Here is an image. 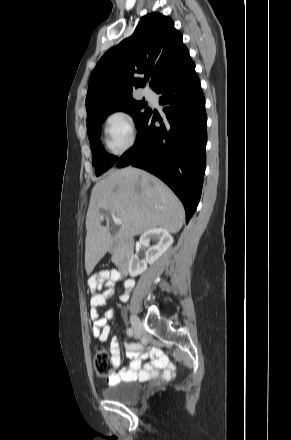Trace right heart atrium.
<instances>
[{
  "label": "right heart atrium",
  "mask_w": 291,
  "mask_h": 440,
  "mask_svg": "<svg viewBox=\"0 0 291 440\" xmlns=\"http://www.w3.org/2000/svg\"><path fill=\"white\" fill-rule=\"evenodd\" d=\"M105 145L114 154H122L134 143L135 128L124 110L110 113L104 121Z\"/></svg>",
  "instance_id": "1"
}]
</instances>
